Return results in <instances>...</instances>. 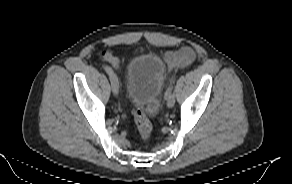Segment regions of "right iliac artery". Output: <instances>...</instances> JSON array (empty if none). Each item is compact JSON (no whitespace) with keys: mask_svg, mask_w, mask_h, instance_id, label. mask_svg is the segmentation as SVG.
I'll return each mask as SVG.
<instances>
[{"mask_svg":"<svg viewBox=\"0 0 292 184\" xmlns=\"http://www.w3.org/2000/svg\"><path fill=\"white\" fill-rule=\"evenodd\" d=\"M104 69H105L106 73L109 74L110 76L113 74V70L111 67L105 66Z\"/></svg>","mask_w":292,"mask_h":184,"instance_id":"82829eb1","label":"right iliac artery"}]
</instances>
